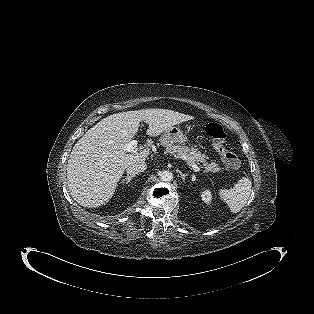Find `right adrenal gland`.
Listing matches in <instances>:
<instances>
[{
  "instance_id": "2a0ac1e0",
  "label": "right adrenal gland",
  "mask_w": 314,
  "mask_h": 314,
  "mask_svg": "<svg viewBox=\"0 0 314 314\" xmlns=\"http://www.w3.org/2000/svg\"><path fill=\"white\" fill-rule=\"evenodd\" d=\"M134 177H135V175H128V176H126L125 179L122 180L121 183H126V184H128V183L131 181V179L134 178Z\"/></svg>"
}]
</instances>
